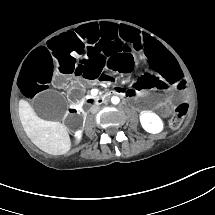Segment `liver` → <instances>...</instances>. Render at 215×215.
<instances>
[{
	"label": "liver",
	"instance_id": "6515ba94",
	"mask_svg": "<svg viewBox=\"0 0 215 215\" xmlns=\"http://www.w3.org/2000/svg\"><path fill=\"white\" fill-rule=\"evenodd\" d=\"M19 118L28 138L41 150L50 154H63L70 149L69 134L60 122L39 118L24 101L19 103Z\"/></svg>",
	"mask_w": 215,
	"mask_h": 215
}]
</instances>
